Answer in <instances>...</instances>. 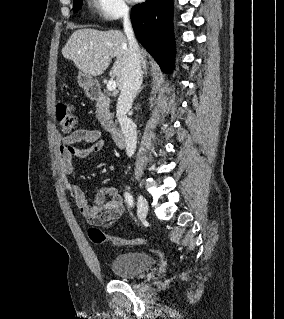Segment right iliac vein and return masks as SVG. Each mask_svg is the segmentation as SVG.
<instances>
[{
  "mask_svg": "<svg viewBox=\"0 0 284 319\" xmlns=\"http://www.w3.org/2000/svg\"><path fill=\"white\" fill-rule=\"evenodd\" d=\"M137 212L140 220H144L148 213V203L145 197H143L142 195H138Z\"/></svg>",
  "mask_w": 284,
  "mask_h": 319,
  "instance_id": "obj_1",
  "label": "right iliac vein"
}]
</instances>
